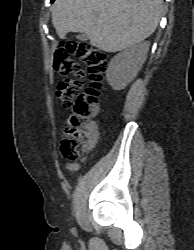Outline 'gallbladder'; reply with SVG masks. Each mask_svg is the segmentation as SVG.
<instances>
[{"mask_svg":"<svg viewBox=\"0 0 194 250\" xmlns=\"http://www.w3.org/2000/svg\"><path fill=\"white\" fill-rule=\"evenodd\" d=\"M76 37H77V39H79V40H88V39H89L88 36H87L86 34H79V35H77Z\"/></svg>","mask_w":194,"mask_h":250,"instance_id":"obj_1","label":"gallbladder"}]
</instances>
